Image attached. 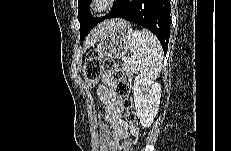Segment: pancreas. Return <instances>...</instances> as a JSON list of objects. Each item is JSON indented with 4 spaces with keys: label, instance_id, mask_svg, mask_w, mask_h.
<instances>
[{
    "label": "pancreas",
    "instance_id": "1",
    "mask_svg": "<svg viewBox=\"0 0 231 151\" xmlns=\"http://www.w3.org/2000/svg\"><path fill=\"white\" fill-rule=\"evenodd\" d=\"M135 64L133 61H127L124 63L125 71L127 74H134L135 73Z\"/></svg>",
    "mask_w": 231,
    "mask_h": 151
}]
</instances>
